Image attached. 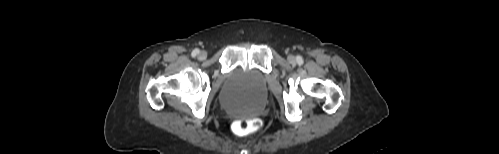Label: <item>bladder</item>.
I'll return each instance as SVG.
<instances>
[{"instance_id":"1","label":"bladder","mask_w":499,"mask_h":154,"mask_svg":"<svg viewBox=\"0 0 499 154\" xmlns=\"http://www.w3.org/2000/svg\"><path fill=\"white\" fill-rule=\"evenodd\" d=\"M266 78L255 69H237L220 93L224 109L239 115L260 111L265 102Z\"/></svg>"}]
</instances>
